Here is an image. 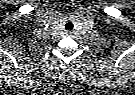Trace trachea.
Wrapping results in <instances>:
<instances>
[{
  "label": "trachea",
  "mask_w": 135,
  "mask_h": 95,
  "mask_svg": "<svg viewBox=\"0 0 135 95\" xmlns=\"http://www.w3.org/2000/svg\"><path fill=\"white\" fill-rule=\"evenodd\" d=\"M73 23L72 22H67L66 24H65V29L66 30H72L73 29Z\"/></svg>",
  "instance_id": "obj_1"
}]
</instances>
